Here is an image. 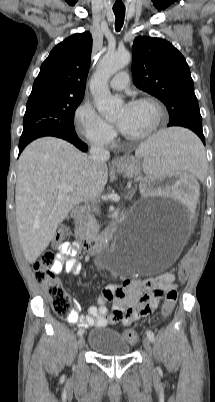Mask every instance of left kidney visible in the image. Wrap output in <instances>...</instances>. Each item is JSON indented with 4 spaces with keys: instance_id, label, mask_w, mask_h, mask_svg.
<instances>
[{
    "instance_id": "obj_1",
    "label": "left kidney",
    "mask_w": 215,
    "mask_h": 402,
    "mask_svg": "<svg viewBox=\"0 0 215 402\" xmlns=\"http://www.w3.org/2000/svg\"><path fill=\"white\" fill-rule=\"evenodd\" d=\"M191 174L172 173L171 175H156L151 173L149 178L142 179L145 193H167V198L190 202L192 209L197 208L195 201L198 197L199 186L190 180Z\"/></svg>"
}]
</instances>
